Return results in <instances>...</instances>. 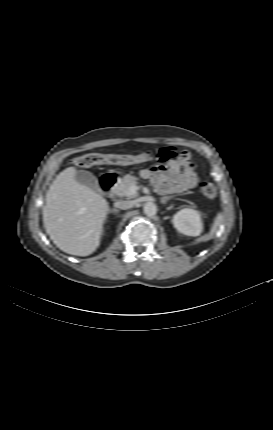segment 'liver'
<instances>
[{
    "mask_svg": "<svg viewBox=\"0 0 273 430\" xmlns=\"http://www.w3.org/2000/svg\"><path fill=\"white\" fill-rule=\"evenodd\" d=\"M68 167L56 177L46 194L43 224L53 243L62 251L88 256L100 244L108 202L75 179Z\"/></svg>",
    "mask_w": 273,
    "mask_h": 430,
    "instance_id": "liver-1",
    "label": "liver"
}]
</instances>
